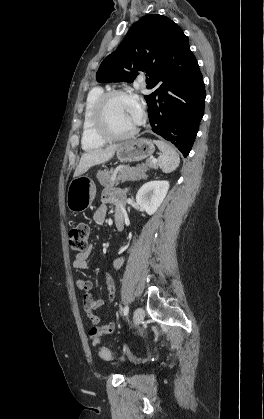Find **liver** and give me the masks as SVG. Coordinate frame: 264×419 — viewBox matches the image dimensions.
<instances>
[{"label":"liver","instance_id":"6515ba94","mask_svg":"<svg viewBox=\"0 0 264 419\" xmlns=\"http://www.w3.org/2000/svg\"><path fill=\"white\" fill-rule=\"evenodd\" d=\"M118 144L110 145L106 148L90 150L84 153L77 165L73 177H78L89 170L92 166L109 161L115 154Z\"/></svg>","mask_w":264,"mask_h":419}]
</instances>
